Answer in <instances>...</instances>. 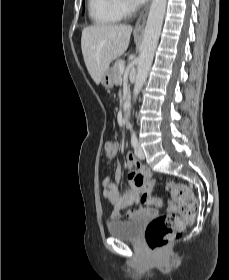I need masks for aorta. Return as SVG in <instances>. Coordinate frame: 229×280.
<instances>
[{"instance_id": "aorta-1", "label": "aorta", "mask_w": 229, "mask_h": 280, "mask_svg": "<svg viewBox=\"0 0 229 280\" xmlns=\"http://www.w3.org/2000/svg\"><path fill=\"white\" fill-rule=\"evenodd\" d=\"M166 3L167 0H153L150 7L138 57L137 75L133 90L134 100H136L147 79L153 61L166 11Z\"/></svg>"}]
</instances>
